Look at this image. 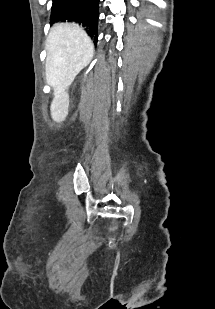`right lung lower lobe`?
<instances>
[{
    "instance_id": "1",
    "label": "right lung lower lobe",
    "mask_w": 215,
    "mask_h": 309,
    "mask_svg": "<svg viewBox=\"0 0 215 309\" xmlns=\"http://www.w3.org/2000/svg\"><path fill=\"white\" fill-rule=\"evenodd\" d=\"M98 16L99 0H53L50 21L77 23L84 27L96 44Z\"/></svg>"
}]
</instances>
